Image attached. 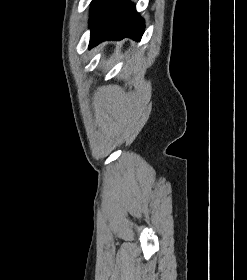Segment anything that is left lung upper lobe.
Segmentation results:
<instances>
[{"instance_id": "left-lung-upper-lobe-1", "label": "left lung upper lobe", "mask_w": 247, "mask_h": 280, "mask_svg": "<svg viewBox=\"0 0 247 280\" xmlns=\"http://www.w3.org/2000/svg\"><path fill=\"white\" fill-rule=\"evenodd\" d=\"M100 2V0H93L92 1V8H94L98 3Z\"/></svg>"}]
</instances>
